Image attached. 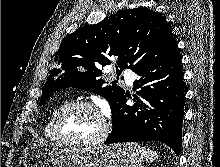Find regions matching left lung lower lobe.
<instances>
[{
	"instance_id": "1",
	"label": "left lung lower lobe",
	"mask_w": 220,
	"mask_h": 167,
	"mask_svg": "<svg viewBox=\"0 0 220 167\" xmlns=\"http://www.w3.org/2000/svg\"><path fill=\"white\" fill-rule=\"evenodd\" d=\"M134 72L140 76L133 85L134 105L123 94L111 110L113 130L105 144L160 141L179 155L185 100L178 48Z\"/></svg>"
}]
</instances>
